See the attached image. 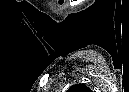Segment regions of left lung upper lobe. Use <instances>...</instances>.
Returning <instances> with one entry per match:
<instances>
[{
	"label": "left lung upper lobe",
	"instance_id": "1",
	"mask_svg": "<svg viewBox=\"0 0 129 92\" xmlns=\"http://www.w3.org/2000/svg\"><path fill=\"white\" fill-rule=\"evenodd\" d=\"M67 92H92L85 84H76L71 86Z\"/></svg>",
	"mask_w": 129,
	"mask_h": 92
}]
</instances>
